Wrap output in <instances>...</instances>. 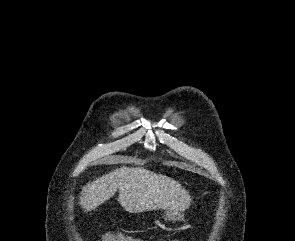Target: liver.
<instances>
[{
  "instance_id": "1",
  "label": "liver",
  "mask_w": 295,
  "mask_h": 241,
  "mask_svg": "<svg viewBox=\"0 0 295 241\" xmlns=\"http://www.w3.org/2000/svg\"><path fill=\"white\" fill-rule=\"evenodd\" d=\"M119 191L118 202L129 213L149 210L184 211L191 197L180 183L143 167H120L83 187L80 205L95 210Z\"/></svg>"
}]
</instances>
